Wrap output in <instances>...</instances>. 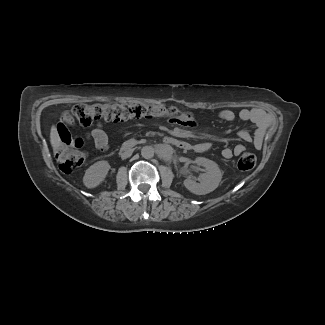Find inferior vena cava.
I'll list each match as a JSON object with an SVG mask.
<instances>
[{
  "label": "inferior vena cava",
  "instance_id": "602c4592",
  "mask_svg": "<svg viewBox=\"0 0 325 325\" xmlns=\"http://www.w3.org/2000/svg\"><path fill=\"white\" fill-rule=\"evenodd\" d=\"M132 155V151H126L124 153H122V158H127V157H130Z\"/></svg>",
  "mask_w": 325,
  "mask_h": 325
}]
</instances>
